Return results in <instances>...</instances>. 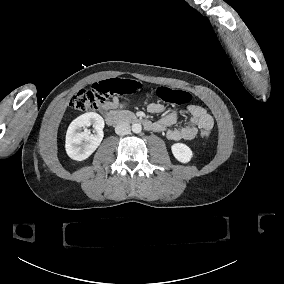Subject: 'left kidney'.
<instances>
[{
    "mask_svg": "<svg viewBox=\"0 0 284 284\" xmlns=\"http://www.w3.org/2000/svg\"><path fill=\"white\" fill-rule=\"evenodd\" d=\"M171 149L174 157L182 163H188L193 156L191 149L183 143H175Z\"/></svg>",
    "mask_w": 284,
    "mask_h": 284,
    "instance_id": "obj_1",
    "label": "left kidney"
}]
</instances>
